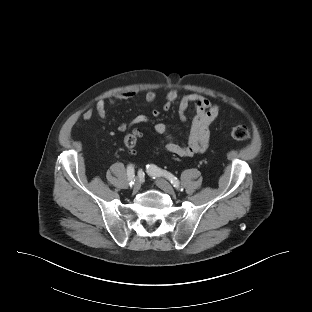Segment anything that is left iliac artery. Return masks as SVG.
<instances>
[{
  "mask_svg": "<svg viewBox=\"0 0 312 312\" xmlns=\"http://www.w3.org/2000/svg\"><path fill=\"white\" fill-rule=\"evenodd\" d=\"M147 172L149 175L154 176V177L163 176V177L167 178L173 184V186L176 189L181 188L180 182L177 179V177H175L170 172L157 167L156 165H147Z\"/></svg>",
  "mask_w": 312,
  "mask_h": 312,
  "instance_id": "obj_1",
  "label": "left iliac artery"
}]
</instances>
